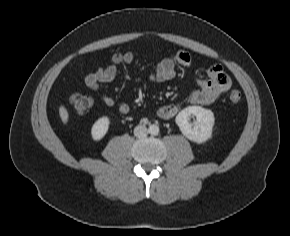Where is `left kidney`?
I'll use <instances>...</instances> for the list:
<instances>
[{
	"mask_svg": "<svg viewBox=\"0 0 290 236\" xmlns=\"http://www.w3.org/2000/svg\"><path fill=\"white\" fill-rule=\"evenodd\" d=\"M191 116L196 117L194 123L190 122ZM175 121L185 137L193 142L203 143L212 136L215 118L209 109L201 106H189L178 113Z\"/></svg>",
	"mask_w": 290,
	"mask_h": 236,
	"instance_id": "5707ae66",
	"label": "left kidney"
}]
</instances>
